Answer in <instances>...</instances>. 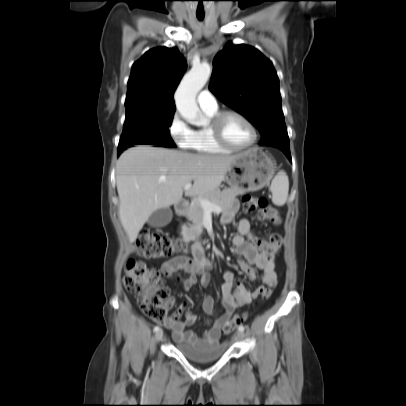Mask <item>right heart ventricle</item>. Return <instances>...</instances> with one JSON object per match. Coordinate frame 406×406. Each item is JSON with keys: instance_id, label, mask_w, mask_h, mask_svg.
<instances>
[{"instance_id": "e07e8e85", "label": "right heart ventricle", "mask_w": 406, "mask_h": 406, "mask_svg": "<svg viewBox=\"0 0 406 406\" xmlns=\"http://www.w3.org/2000/svg\"><path fill=\"white\" fill-rule=\"evenodd\" d=\"M203 110L209 119H211L218 113V108L213 110ZM188 148L198 153L210 154L228 153L231 151L221 147L219 144L216 143L210 130L209 124L193 131V136L188 145Z\"/></svg>"}]
</instances>
